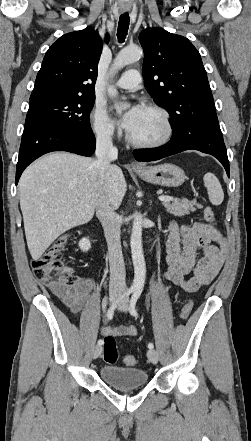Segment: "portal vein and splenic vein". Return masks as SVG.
Segmentation results:
<instances>
[{
	"label": "portal vein and splenic vein",
	"mask_w": 251,
	"mask_h": 441,
	"mask_svg": "<svg viewBox=\"0 0 251 441\" xmlns=\"http://www.w3.org/2000/svg\"><path fill=\"white\" fill-rule=\"evenodd\" d=\"M159 200L162 202V203H166V202H170V201H173V200H175L173 197H171V196H160L159 197Z\"/></svg>",
	"instance_id": "18ae733b"
}]
</instances>
